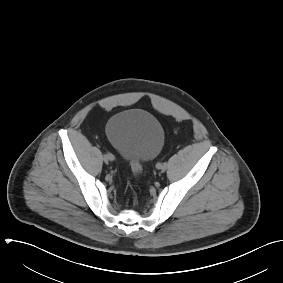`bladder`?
<instances>
[{
	"label": "bladder",
	"instance_id": "31cf9c89",
	"mask_svg": "<svg viewBox=\"0 0 283 283\" xmlns=\"http://www.w3.org/2000/svg\"><path fill=\"white\" fill-rule=\"evenodd\" d=\"M106 136L121 156L130 161L154 159L164 144L159 120L141 109H129L112 116L106 124Z\"/></svg>",
	"mask_w": 283,
	"mask_h": 283
}]
</instances>
